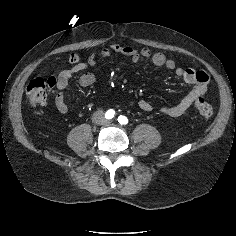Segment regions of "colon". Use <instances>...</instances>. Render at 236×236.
Here are the masks:
<instances>
[{
    "instance_id": "colon-1",
    "label": "colon",
    "mask_w": 236,
    "mask_h": 236,
    "mask_svg": "<svg viewBox=\"0 0 236 236\" xmlns=\"http://www.w3.org/2000/svg\"><path fill=\"white\" fill-rule=\"evenodd\" d=\"M76 60V57H71L72 62H75ZM56 82L57 80L55 77H38L33 79L26 88V95L29 104L33 107L45 105L48 99V94L56 85ZM195 108L200 116L205 120H209L213 116V108L204 98L200 97L196 100Z\"/></svg>"
}]
</instances>
